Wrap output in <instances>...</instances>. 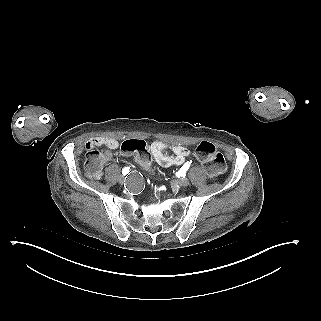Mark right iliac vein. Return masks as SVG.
<instances>
[{"label":"right iliac vein","instance_id":"63e3f726","mask_svg":"<svg viewBox=\"0 0 321 321\" xmlns=\"http://www.w3.org/2000/svg\"><path fill=\"white\" fill-rule=\"evenodd\" d=\"M124 176L123 175H120L119 177H118V182L120 183V184H123L124 183Z\"/></svg>","mask_w":321,"mask_h":321}]
</instances>
